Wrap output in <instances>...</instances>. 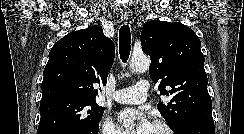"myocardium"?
<instances>
[{"label": "myocardium", "instance_id": "f54148a6", "mask_svg": "<svg viewBox=\"0 0 244 134\" xmlns=\"http://www.w3.org/2000/svg\"><path fill=\"white\" fill-rule=\"evenodd\" d=\"M154 125L159 127V128H161V129H163L166 132V134H175V132L172 129V127L168 123H166V122H164L162 120H156L154 122Z\"/></svg>", "mask_w": 244, "mask_h": 134}]
</instances>
